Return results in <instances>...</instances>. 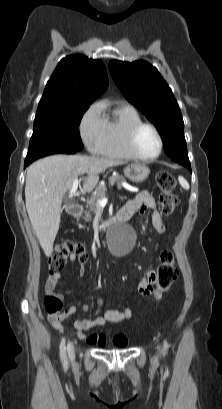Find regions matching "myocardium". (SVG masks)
<instances>
[{"instance_id":"f54148a6","label":"myocardium","mask_w":222,"mask_h":409,"mask_svg":"<svg viewBox=\"0 0 222 409\" xmlns=\"http://www.w3.org/2000/svg\"><path fill=\"white\" fill-rule=\"evenodd\" d=\"M146 127L152 129V130L155 132V134L157 135L158 141H159V149H158V152H157L155 155H153V156H144V155H142V154L138 151V149H137V147H136V138H137V135H138V133H139L143 128H146ZM126 143H127V147H128V149H129L130 153H131L136 159H139V160H142V161H152V160L157 159V158L161 155V153H162V151H163V147H164L163 137H162V135H161L159 129H158L155 125H153V124H151V123H148V122H140V123L135 124V125L129 130V132H128V134H127Z\"/></svg>"}]
</instances>
